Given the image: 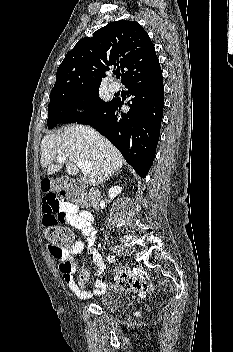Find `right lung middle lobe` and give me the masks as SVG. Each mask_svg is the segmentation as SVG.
<instances>
[{
  "label": "right lung middle lobe",
  "mask_w": 233,
  "mask_h": 352,
  "mask_svg": "<svg viewBox=\"0 0 233 352\" xmlns=\"http://www.w3.org/2000/svg\"><path fill=\"white\" fill-rule=\"evenodd\" d=\"M99 86L54 87L51 91L48 106V128L52 129L59 123L78 122L107 106L109 102H104L99 98ZM73 106L83 108L84 112L75 111Z\"/></svg>",
  "instance_id": "right-lung-middle-lobe-1"
}]
</instances>
